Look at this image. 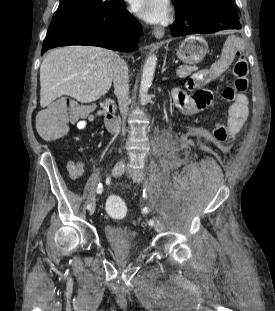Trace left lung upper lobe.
I'll return each mask as SVG.
<instances>
[{
  "label": "left lung upper lobe",
  "mask_w": 275,
  "mask_h": 311,
  "mask_svg": "<svg viewBox=\"0 0 275 311\" xmlns=\"http://www.w3.org/2000/svg\"><path fill=\"white\" fill-rule=\"evenodd\" d=\"M175 6L181 9H186L192 7L193 5L201 2H210L216 4H225L230 7L237 13L236 7L233 5L232 0H172Z\"/></svg>",
  "instance_id": "obj_1"
}]
</instances>
